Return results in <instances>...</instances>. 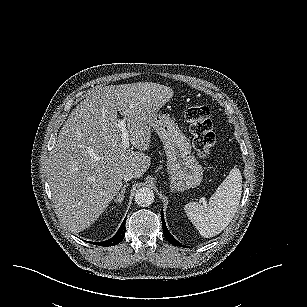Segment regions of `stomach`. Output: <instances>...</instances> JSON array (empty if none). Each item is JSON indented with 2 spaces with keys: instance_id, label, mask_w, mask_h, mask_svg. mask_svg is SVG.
Instances as JSON below:
<instances>
[{
  "instance_id": "stomach-1",
  "label": "stomach",
  "mask_w": 307,
  "mask_h": 307,
  "mask_svg": "<svg viewBox=\"0 0 307 307\" xmlns=\"http://www.w3.org/2000/svg\"><path fill=\"white\" fill-rule=\"evenodd\" d=\"M153 129L163 143L171 191H184L200 185L203 168L191 153L190 140L169 115L157 114Z\"/></svg>"
}]
</instances>
